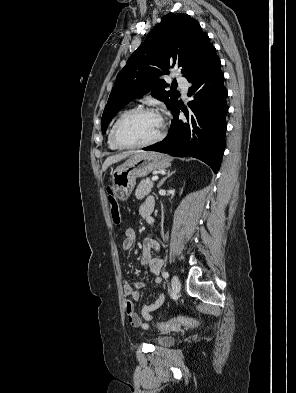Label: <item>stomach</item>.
Here are the masks:
<instances>
[{
    "instance_id": "1",
    "label": "stomach",
    "mask_w": 296,
    "mask_h": 393,
    "mask_svg": "<svg viewBox=\"0 0 296 393\" xmlns=\"http://www.w3.org/2000/svg\"><path fill=\"white\" fill-rule=\"evenodd\" d=\"M170 165V158L162 153L142 152L132 155L112 172V191L115 197L122 201L128 199L135 187L136 178L166 169Z\"/></svg>"
}]
</instances>
